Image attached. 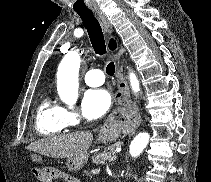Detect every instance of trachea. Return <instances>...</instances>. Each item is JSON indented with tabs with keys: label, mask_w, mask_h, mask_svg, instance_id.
<instances>
[{
	"label": "trachea",
	"mask_w": 211,
	"mask_h": 182,
	"mask_svg": "<svg viewBox=\"0 0 211 182\" xmlns=\"http://www.w3.org/2000/svg\"><path fill=\"white\" fill-rule=\"evenodd\" d=\"M76 12L82 19L83 24L87 29L95 53L99 55H104L106 53V45L99 21L95 18L91 10H82ZM106 73L111 76L114 75V62H110L107 65Z\"/></svg>",
	"instance_id": "obj_1"
}]
</instances>
